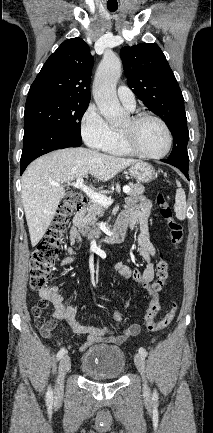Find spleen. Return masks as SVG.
<instances>
[{
    "instance_id": "1",
    "label": "spleen",
    "mask_w": 213,
    "mask_h": 433,
    "mask_svg": "<svg viewBox=\"0 0 213 433\" xmlns=\"http://www.w3.org/2000/svg\"><path fill=\"white\" fill-rule=\"evenodd\" d=\"M178 189L176 191V197H175V212H176V217L179 220H184L186 218V195L184 190L181 187V184L179 181H176Z\"/></svg>"
}]
</instances>
